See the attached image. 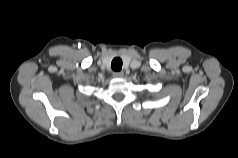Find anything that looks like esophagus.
<instances>
[{
  "instance_id": "1",
  "label": "esophagus",
  "mask_w": 238,
  "mask_h": 158,
  "mask_svg": "<svg viewBox=\"0 0 238 158\" xmlns=\"http://www.w3.org/2000/svg\"><path fill=\"white\" fill-rule=\"evenodd\" d=\"M124 73L122 71H116L113 73V77L115 78H122Z\"/></svg>"
}]
</instances>
